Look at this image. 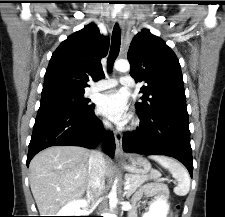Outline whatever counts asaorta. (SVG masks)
Segmentation results:
<instances>
[{"label": "aorta", "instance_id": "aorta-1", "mask_svg": "<svg viewBox=\"0 0 225 217\" xmlns=\"http://www.w3.org/2000/svg\"><path fill=\"white\" fill-rule=\"evenodd\" d=\"M114 68L120 72H127L130 69V65L125 60H118L114 63ZM117 199L116 197L110 198V207L114 208L116 206Z\"/></svg>", "mask_w": 225, "mask_h": 217}]
</instances>
